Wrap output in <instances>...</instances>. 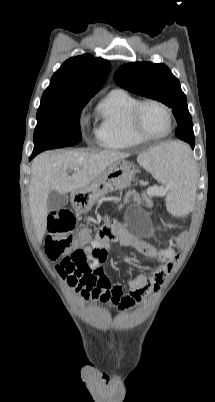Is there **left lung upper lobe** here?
<instances>
[{"label": "left lung upper lobe", "mask_w": 215, "mask_h": 402, "mask_svg": "<svg viewBox=\"0 0 215 402\" xmlns=\"http://www.w3.org/2000/svg\"><path fill=\"white\" fill-rule=\"evenodd\" d=\"M117 85L126 90L158 100L172 108L178 127L176 136L194 148L192 117L179 80L164 64L135 62L121 66L114 74Z\"/></svg>", "instance_id": "1"}]
</instances>
